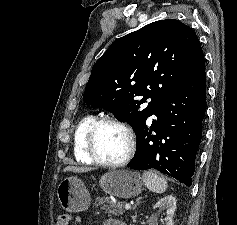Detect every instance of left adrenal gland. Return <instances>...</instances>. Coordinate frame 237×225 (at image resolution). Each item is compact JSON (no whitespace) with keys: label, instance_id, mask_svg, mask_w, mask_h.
I'll use <instances>...</instances> for the list:
<instances>
[{"label":"left adrenal gland","instance_id":"left-adrenal-gland-1","mask_svg":"<svg viewBox=\"0 0 237 225\" xmlns=\"http://www.w3.org/2000/svg\"><path fill=\"white\" fill-rule=\"evenodd\" d=\"M140 202H137V204L133 207V209H135L136 208V206L139 204Z\"/></svg>","mask_w":237,"mask_h":225}]
</instances>
